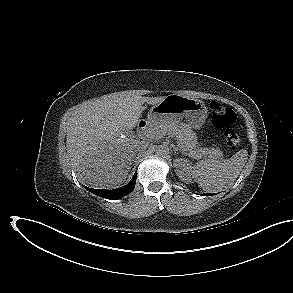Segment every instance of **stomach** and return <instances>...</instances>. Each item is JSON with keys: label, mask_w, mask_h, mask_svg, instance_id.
I'll return each instance as SVG.
<instances>
[{"label": "stomach", "mask_w": 293, "mask_h": 293, "mask_svg": "<svg viewBox=\"0 0 293 293\" xmlns=\"http://www.w3.org/2000/svg\"><path fill=\"white\" fill-rule=\"evenodd\" d=\"M208 109L204 102L195 98L172 94L151 107L147 115L148 123L179 122L186 119L189 126L199 129L205 123Z\"/></svg>", "instance_id": "1"}]
</instances>
